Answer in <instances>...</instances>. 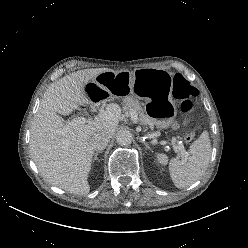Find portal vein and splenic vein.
<instances>
[{"label":"portal vein and splenic vein","instance_id":"portal-vein-and-splenic-vein-1","mask_svg":"<svg viewBox=\"0 0 248 248\" xmlns=\"http://www.w3.org/2000/svg\"><path fill=\"white\" fill-rule=\"evenodd\" d=\"M130 116H131V119L133 120V122L136 123L137 120H138V115L134 111H131ZM86 122H87V120L84 117H79V118L73 119L71 121H68V124L66 125L64 130H68L70 128V126H75V125H78V124H85ZM173 148H174L175 151L179 150V151H181V153L186 154L184 149H180L175 144H173Z\"/></svg>","mask_w":248,"mask_h":248}]
</instances>
